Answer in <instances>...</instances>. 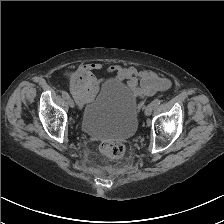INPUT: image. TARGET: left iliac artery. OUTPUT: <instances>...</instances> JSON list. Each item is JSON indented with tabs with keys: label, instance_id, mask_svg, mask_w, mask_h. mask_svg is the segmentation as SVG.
Returning a JSON list of instances; mask_svg holds the SVG:
<instances>
[{
	"label": "left iliac artery",
	"instance_id": "44dca946",
	"mask_svg": "<svg viewBox=\"0 0 224 224\" xmlns=\"http://www.w3.org/2000/svg\"><path fill=\"white\" fill-rule=\"evenodd\" d=\"M154 108L158 107L160 105V100L159 99H155L153 102H152Z\"/></svg>",
	"mask_w": 224,
	"mask_h": 224
}]
</instances>
